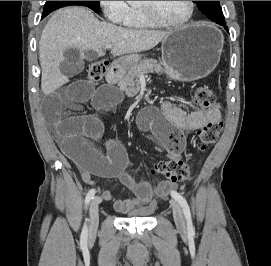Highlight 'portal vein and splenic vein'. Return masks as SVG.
I'll list each match as a JSON object with an SVG mask.
<instances>
[{"label": "portal vein and splenic vein", "instance_id": "18ae733b", "mask_svg": "<svg viewBox=\"0 0 271 266\" xmlns=\"http://www.w3.org/2000/svg\"><path fill=\"white\" fill-rule=\"evenodd\" d=\"M106 48H107V49H111V48H112V44L106 45Z\"/></svg>", "mask_w": 271, "mask_h": 266}]
</instances>
